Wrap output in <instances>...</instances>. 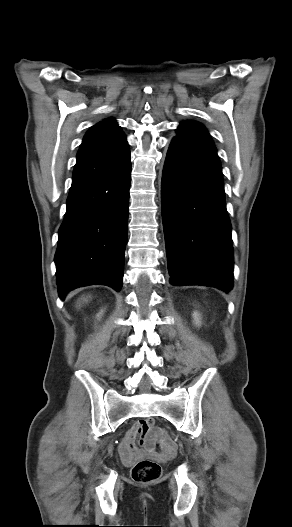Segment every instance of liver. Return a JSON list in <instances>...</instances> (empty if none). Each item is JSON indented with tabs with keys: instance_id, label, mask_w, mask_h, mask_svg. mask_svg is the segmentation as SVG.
<instances>
[{
	"instance_id": "6515ba94",
	"label": "liver",
	"mask_w": 292,
	"mask_h": 527,
	"mask_svg": "<svg viewBox=\"0 0 292 527\" xmlns=\"http://www.w3.org/2000/svg\"><path fill=\"white\" fill-rule=\"evenodd\" d=\"M83 301H87V298H83Z\"/></svg>"
}]
</instances>
